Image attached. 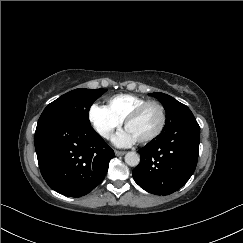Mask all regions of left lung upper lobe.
Listing matches in <instances>:
<instances>
[{
  "instance_id": "obj_1",
  "label": "left lung upper lobe",
  "mask_w": 243,
  "mask_h": 243,
  "mask_svg": "<svg viewBox=\"0 0 243 243\" xmlns=\"http://www.w3.org/2000/svg\"><path fill=\"white\" fill-rule=\"evenodd\" d=\"M149 95L158 98L163 103L164 109L166 111V123L162 132L177 125L184 119L193 116L191 110L186 105L180 103L167 94L157 92L150 93Z\"/></svg>"
}]
</instances>
